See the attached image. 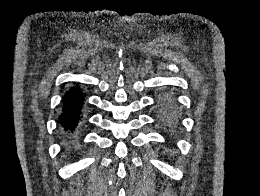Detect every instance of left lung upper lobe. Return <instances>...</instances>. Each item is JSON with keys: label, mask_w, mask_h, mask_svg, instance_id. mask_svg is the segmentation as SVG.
I'll use <instances>...</instances> for the list:
<instances>
[{"label": "left lung upper lobe", "mask_w": 260, "mask_h": 196, "mask_svg": "<svg viewBox=\"0 0 260 196\" xmlns=\"http://www.w3.org/2000/svg\"><path fill=\"white\" fill-rule=\"evenodd\" d=\"M160 104V112L158 114L159 123L173 134L180 127V116L176 102L172 97L165 96L161 99Z\"/></svg>", "instance_id": "left-lung-upper-lobe-1"}]
</instances>
